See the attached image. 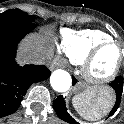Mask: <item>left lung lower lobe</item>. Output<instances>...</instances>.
<instances>
[{
    "label": "left lung lower lobe",
    "mask_w": 124,
    "mask_h": 124,
    "mask_svg": "<svg viewBox=\"0 0 124 124\" xmlns=\"http://www.w3.org/2000/svg\"><path fill=\"white\" fill-rule=\"evenodd\" d=\"M123 76H118L116 79L110 84L111 88L113 89L115 93V102L114 106L111 109L109 116L113 115L117 109L119 108L122 92H123ZM74 83V81H73ZM53 108L56 111L58 117L70 124H79L76 122L70 114L67 112L66 104L64 101V98L62 95H59L54 101H53Z\"/></svg>",
    "instance_id": "left-lung-lower-lobe-1"
}]
</instances>
